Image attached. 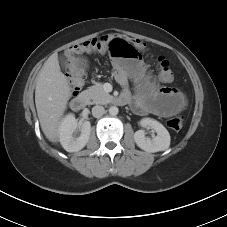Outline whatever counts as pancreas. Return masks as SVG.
Masks as SVG:
<instances>
[{
    "label": "pancreas",
    "mask_w": 227,
    "mask_h": 227,
    "mask_svg": "<svg viewBox=\"0 0 227 227\" xmlns=\"http://www.w3.org/2000/svg\"><path fill=\"white\" fill-rule=\"evenodd\" d=\"M87 95L94 104H108L113 101V96L104 91L101 84H96L86 90Z\"/></svg>",
    "instance_id": "obj_1"
}]
</instances>
